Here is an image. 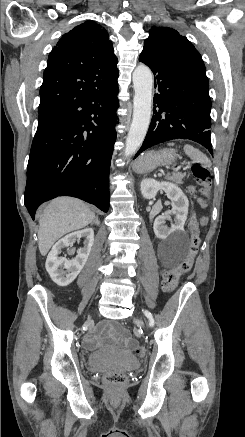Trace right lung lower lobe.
Returning a JSON list of instances; mask_svg holds the SVG:
<instances>
[{
  "label": "right lung lower lobe",
  "instance_id": "right-lung-lower-lobe-1",
  "mask_svg": "<svg viewBox=\"0 0 245 437\" xmlns=\"http://www.w3.org/2000/svg\"><path fill=\"white\" fill-rule=\"evenodd\" d=\"M118 83L39 113L27 166L25 206L73 196L109 209V168L116 140Z\"/></svg>",
  "mask_w": 245,
  "mask_h": 437
}]
</instances>
